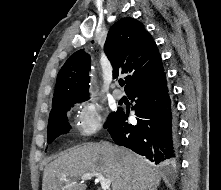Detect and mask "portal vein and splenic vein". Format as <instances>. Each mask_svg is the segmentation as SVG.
<instances>
[{
    "instance_id": "obj_1",
    "label": "portal vein and splenic vein",
    "mask_w": 221,
    "mask_h": 190,
    "mask_svg": "<svg viewBox=\"0 0 221 190\" xmlns=\"http://www.w3.org/2000/svg\"><path fill=\"white\" fill-rule=\"evenodd\" d=\"M92 177L96 178L97 182H100L102 190H110L111 181L110 179L105 178L100 173H86L81 176L82 181L91 179Z\"/></svg>"
}]
</instances>
